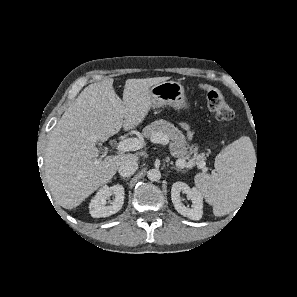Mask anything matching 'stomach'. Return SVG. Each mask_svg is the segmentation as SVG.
I'll use <instances>...</instances> for the list:
<instances>
[{
	"mask_svg": "<svg viewBox=\"0 0 297 297\" xmlns=\"http://www.w3.org/2000/svg\"><path fill=\"white\" fill-rule=\"evenodd\" d=\"M149 95L152 109H157L164 105H170L176 110L190 108L184 87L176 81H163L154 85L150 88Z\"/></svg>",
	"mask_w": 297,
	"mask_h": 297,
	"instance_id": "0dacf381",
	"label": "stomach"
}]
</instances>
